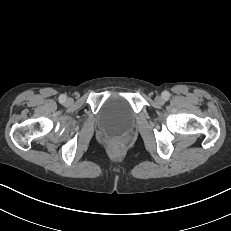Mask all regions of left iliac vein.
Wrapping results in <instances>:
<instances>
[{"label": "left iliac vein", "instance_id": "4c4485c4", "mask_svg": "<svg viewBox=\"0 0 231 231\" xmlns=\"http://www.w3.org/2000/svg\"><path fill=\"white\" fill-rule=\"evenodd\" d=\"M155 101L158 103V104H163L164 103V99L162 96L158 95L155 97Z\"/></svg>", "mask_w": 231, "mask_h": 231}]
</instances>
